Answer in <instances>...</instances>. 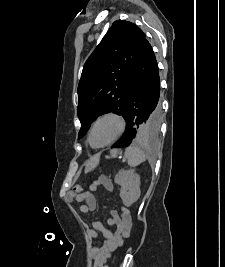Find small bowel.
Here are the masks:
<instances>
[{
    "mask_svg": "<svg viewBox=\"0 0 225 267\" xmlns=\"http://www.w3.org/2000/svg\"><path fill=\"white\" fill-rule=\"evenodd\" d=\"M104 187L108 191L114 189L113 183L107 177H100L90 185V190L83 193L81 196H75L74 194H68L67 200L82 202L80 211L87 215L91 221V228L88 229V235L91 239L98 237V232H101L104 237V243L102 246H95L92 248L91 253L93 256V267H105L108 256L111 252L115 251L123 244V240L128 238L132 230V219L130 211L127 207H122L119 213L116 210L110 212V218L108 224L115 226V231H110L104 228L102 223L93 220L91 212L96 209L97 202L94 196V191L98 187Z\"/></svg>",
    "mask_w": 225,
    "mask_h": 267,
    "instance_id": "obj_1",
    "label": "small bowel"
}]
</instances>
